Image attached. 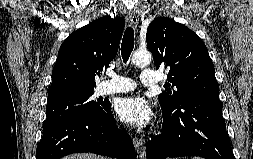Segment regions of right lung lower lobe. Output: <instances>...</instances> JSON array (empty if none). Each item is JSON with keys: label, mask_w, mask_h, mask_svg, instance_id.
I'll list each match as a JSON object with an SVG mask.
<instances>
[{"label": "right lung lower lobe", "mask_w": 253, "mask_h": 159, "mask_svg": "<svg viewBox=\"0 0 253 159\" xmlns=\"http://www.w3.org/2000/svg\"><path fill=\"white\" fill-rule=\"evenodd\" d=\"M115 123L109 102L97 114L74 116L43 132L36 149V159H59L80 152L136 159L131 138Z\"/></svg>", "instance_id": "obj_1"}]
</instances>
